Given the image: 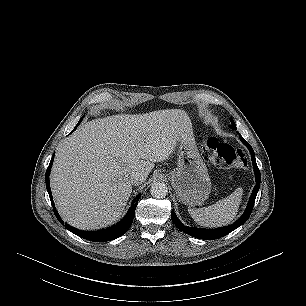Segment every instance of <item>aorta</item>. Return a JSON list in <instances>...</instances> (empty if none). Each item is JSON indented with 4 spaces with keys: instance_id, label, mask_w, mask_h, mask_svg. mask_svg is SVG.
<instances>
[{
    "instance_id": "1",
    "label": "aorta",
    "mask_w": 306,
    "mask_h": 306,
    "mask_svg": "<svg viewBox=\"0 0 306 306\" xmlns=\"http://www.w3.org/2000/svg\"><path fill=\"white\" fill-rule=\"evenodd\" d=\"M168 193L167 185L164 182L156 181L151 186V195L155 198H164Z\"/></svg>"
}]
</instances>
